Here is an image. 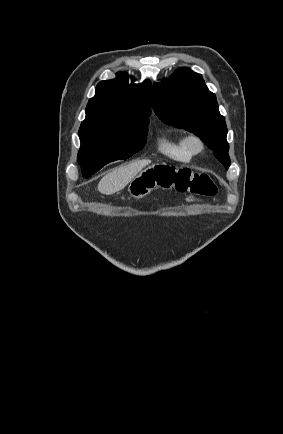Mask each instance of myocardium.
Returning a JSON list of instances; mask_svg holds the SVG:
<instances>
[{
    "label": "myocardium",
    "instance_id": "obj_1",
    "mask_svg": "<svg viewBox=\"0 0 283 434\" xmlns=\"http://www.w3.org/2000/svg\"><path fill=\"white\" fill-rule=\"evenodd\" d=\"M184 144L187 149V151L191 155H198L202 153L205 149V143L202 140V138L195 134V133H189L184 137Z\"/></svg>",
    "mask_w": 283,
    "mask_h": 434
}]
</instances>
